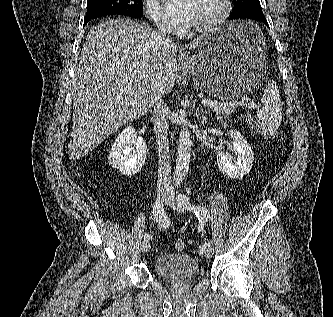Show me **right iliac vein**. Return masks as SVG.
<instances>
[{
  "label": "right iliac vein",
  "mask_w": 333,
  "mask_h": 317,
  "mask_svg": "<svg viewBox=\"0 0 333 317\" xmlns=\"http://www.w3.org/2000/svg\"><path fill=\"white\" fill-rule=\"evenodd\" d=\"M167 194L164 190H160L159 193H158V198L161 200V201H165L166 197H167ZM150 242L148 240H144L141 244V250L142 252L146 253L149 251L150 249Z\"/></svg>",
  "instance_id": "obj_1"
}]
</instances>
